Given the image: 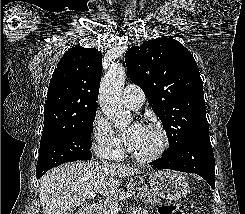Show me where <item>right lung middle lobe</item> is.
Instances as JSON below:
<instances>
[{
	"mask_svg": "<svg viewBox=\"0 0 245 214\" xmlns=\"http://www.w3.org/2000/svg\"><path fill=\"white\" fill-rule=\"evenodd\" d=\"M97 110V109H96ZM96 110L75 125L58 130L50 135H42L36 167V175L66 162L90 160L91 131Z\"/></svg>",
	"mask_w": 245,
	"mask_h": 214,
	"instance_id": "right-lung-middle-lobe-1",
	"label": "right lung middle lobe"
}]
</instances>
